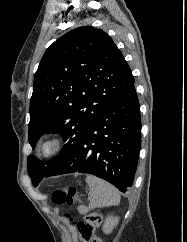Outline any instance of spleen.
Returning a JSON list of instances; mask_svg holds the SVG:
<instances>
[{
  "label": "spleen",
  "instance_id": "obj_1",
  "mask_svg": "<svg viewBox=\"0 0 187 242\" xmlns=\"http://www.w3.org/2000/svg\"><path fill=\"white\" fill-rule=\"evenodd\" d=\"M86 182L89 186V194L91 196L90 208H102L117 205L120 201L118 190L110 183L95 176H88ZM80 213H84L85 209L78 207Z\"/></svg>",
  "mask_w": 187,
  "mask_h": 242
}]
</instances>
